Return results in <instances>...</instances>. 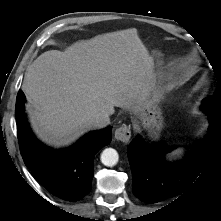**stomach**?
Instances as JSON below:
<instances>
[{
    "label": "stomach",
    "instance_id": "0dacf381",
    "mask_svg": "<svg viewBox=\"0 0 221 221\" xmlns=\"http://www.w3.org/2000/svg\"><path fill=\"white\" fill-rule=\"evenodd\" d=\"M155 54L157 55V53ZM162 97L161 93H157L154 99L146 101L143 110L140 112V118L149 135L153 138L159 136L165 125L162 110L158 105Z\"/></svg>",
    "mask_w": 221,
    "mask_h": 221
}]
</instances>
